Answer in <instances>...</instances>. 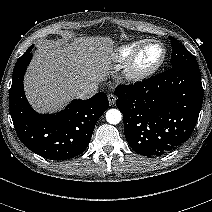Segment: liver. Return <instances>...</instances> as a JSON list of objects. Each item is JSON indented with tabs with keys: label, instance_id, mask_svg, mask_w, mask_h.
<instances>
[{
	"label": "liver",
	"instance_id": "6515ba94",
	"mask_svg": "<svg viewBox=\"0 0 212 212\" xmlns=\"http://www.w3.org/2000/svg\"><path fill=\"white\" fill-rule=\"evenodd\" d=\"M111 40L74 37L38 47L25 77L28 100L41 113L60 110L80 86L98 83L108 70Z\"/></svg>",
	"mask_w": 212,
	"mask_h": 212
}]
</instances>
